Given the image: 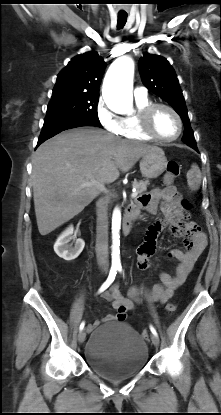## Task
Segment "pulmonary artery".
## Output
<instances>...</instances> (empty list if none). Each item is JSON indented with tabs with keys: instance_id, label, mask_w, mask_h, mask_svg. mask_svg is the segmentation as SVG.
I'll return each mask as SVG.
<instances>
[{
	"instance_id": "obj_1",
	"label": "pulmonary artery",
	"mask_w": 221,
	"mask_h": 415,
	"mask_svg": "<svg viewBox=\"0 0 221 415\" xmlns=\"http://www.w3.org/2000/svg\"><path fill=\"white\" fill-rule=\"evenodd\" d=\"M135 98H145L147 97V89L142 86H137L134 89Z\"/></svg>"
}]
</instances>
